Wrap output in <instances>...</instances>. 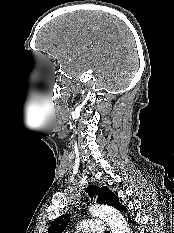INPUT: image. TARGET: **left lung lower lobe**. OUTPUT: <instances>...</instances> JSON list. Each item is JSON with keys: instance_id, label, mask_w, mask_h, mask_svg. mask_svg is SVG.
<instances>
[{"instance_id": "1", "label": "left lung lower lobe", "mask_w": 174, "mask_h": 233, "mask_svg": "<svg viewBox=\"0 0 174 233\" xmlns=\"http://www.w3.org/2000/svg\"><path fill=\"white\" fill-rule=\"evenodd\" d=\"M125 211H126V210H125ZM128 221H129V223H131V224H135V221L132 220L130 217H128Z\"/></svg>"}]
</instances>
